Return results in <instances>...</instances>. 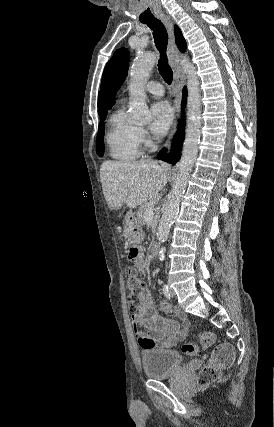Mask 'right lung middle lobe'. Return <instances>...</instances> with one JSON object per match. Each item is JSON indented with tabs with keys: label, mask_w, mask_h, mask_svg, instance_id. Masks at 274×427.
<instances>
[{
	"label": "right lung middle lobe",
	"mask_w": 274,
	"mask_h": 427,
	"mask_svg": "<svg viewBox=\"0 0 274 427\" xmlns=\"http://www.w3.org/2000/svg\"><path fill=\"white\" fill-rule=\"evenodd\" d=\"M107 111L99 114L100 118L102 119L99 128H98V134H97V143H96V152L99 156H103L104 154V120L106 118Z\"/></svg>",
	"instance_id": "1"
}]
</instances>
